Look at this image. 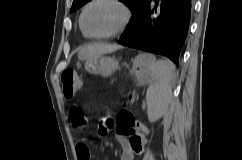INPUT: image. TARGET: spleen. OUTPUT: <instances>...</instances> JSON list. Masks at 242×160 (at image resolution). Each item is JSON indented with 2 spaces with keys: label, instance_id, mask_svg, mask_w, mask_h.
I'll list each match as a JSON object with an SVG mask.
<instances>
[{
  "label": "spleen",
  "instance_id": "obj_1",
  "mask_svg": "<svg viewBox=\"0 0 242 160\" xmlns=\"http://www.w3.org/2000/svg\"><path fill=\"white\" fill-rule=\"evenodd\" d=\"M152 83L150 84L146 99L155 109L167 108L171 98V83L175 67L170 61L156 60L149 55Z\"/></svg>",
  "mask_w": 242,
  "mask_h": 160
}]
</instances>
